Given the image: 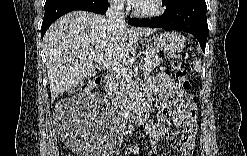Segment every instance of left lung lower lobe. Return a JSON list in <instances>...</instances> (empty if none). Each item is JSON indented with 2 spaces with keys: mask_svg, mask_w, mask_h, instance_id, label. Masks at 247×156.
<instances>
[{
  "mask_svg": "<svg viewBox=\"0 0 247 156\" xmlns=\"http://www.w3.org/2000/svg\"><path fill=\"white\" fill-rule=\"evenodd\" d=\"M205 0H176L154 19H129L137 27H153L186 31L194 35L205 52L208 36Z\"/></svg>",
  "mask_w": 247,
  "mask_h": 156,
  "instance_id": "0a47b994",
  "label": "left lung lower lobe"
}]
</instances>
